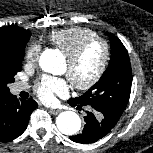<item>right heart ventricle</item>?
<instances>
[{"instance_id":"obj_1","label":"right heart ventricle","mask_w":153,"mask_h":153,"mask_svg":"<svg viewBox=\"0 0 153 153\" xmlns=\"http://www.w3.org/2000/svg\"><path fill=\"white\" fill-rule=\"evenodd\" d=\"M96 36L97 32L90 28L73 26L53 31L49 35V40L67 56L83 41Z\"/></svg>"}]
</instances>
